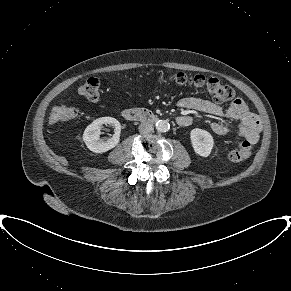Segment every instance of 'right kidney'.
Returning a JSON list of instances; mask_svg holds the SVG:
<instances>
[{"label": "right kidney", "instance_id": "1", "mask_svg": "<svg viewBox=\"0 0 291 291\" xmlns=\"http://www.w3.org/2000/svg\"><path fill=\"white\" fill-rule=\"evenodd\" d=\"M103 124H110L114 126L115 133L112 138L103 141L100 139V130ZM121 132V125L118 120L112 117H101L94 120L84 131L83 141L85 142L87 148L95 153H103L111 150L119 143Z\"/></svg>", "mask_w": 291, "mask_h": 291}]
</instances>
